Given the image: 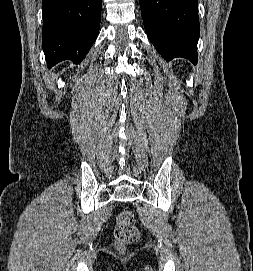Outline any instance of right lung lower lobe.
<instances>
[{
  "label": "right lung lower lobe",
  "instance_id": "right-lung-lower-lobe-1",
  "mask_svg": "<svg viewBox=\"0 0 253 271\" xmlns=\"http://www.w3.org/2000/svg\"><path fill=\"white\" fill-rule=\"evenodd\" d=\"M102 0H43L42 46L47 66L80 63L98 33Z\"/></svg>",
  "mask_w": 253,
  "mask_h": 271
}]
</instances>
